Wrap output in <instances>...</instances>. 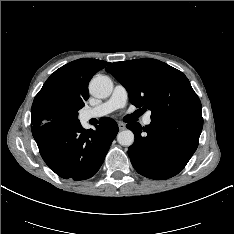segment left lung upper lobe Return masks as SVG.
<instances>
[{
	"label": "left lung upper lobe",
	"instance_id": "obj_1",
	"mask_svg": "<svg viewBox=\"0 0 234 234\" xmlns=\"http://www.w3.org/2000/svg\"><path fill=\"white\" fill-rule=\"evenodd\" d=\"M105 70L126 88L133 105L151 110V120L202 115L187 77L164 62L143 58L115 62Z\"/></svg>",
	"mask_w": 234,
	"mask_h": 234
}]
</instances>
